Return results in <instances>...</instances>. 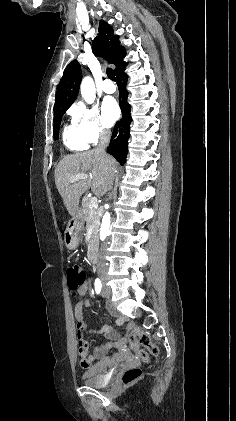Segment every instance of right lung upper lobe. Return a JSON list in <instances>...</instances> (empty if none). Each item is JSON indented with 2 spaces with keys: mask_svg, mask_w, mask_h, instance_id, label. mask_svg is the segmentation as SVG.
I'll use <instances>...</instances> for the list:
<instances>
[{
  "mask_svg": "<svg viewBox=\"0 0 236 421\" xmlns=\"http://www.w3.org/2000/svg\"><path fill=\"white\" fill-rule=\"evenodd\" d=\"M92 49L97 56L104 57L116 66L115 73L126 64L123 62L126 52L125 48L120 46L119 36L114 35L111 26L103 20L99 23L98 35L92 42ZM81 79L80 65L73 60L64 70L58 85L54 110L70 107L78 94Z\"/></svg>",
  "mask_w": 236,
  "mask_h": 421,
  "instance_id": "right-lung-upper-lobe-1",
  "label": "right lung upper lobe"
}]
</instances>
